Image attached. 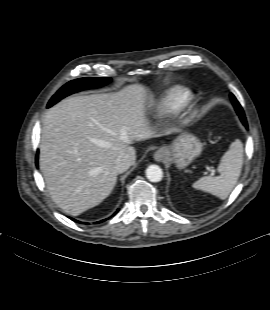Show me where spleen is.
Returning <instances> with one entry per match:
<instances>
[{
	"label": "spleen",
	"mask_w": 270,
	"mask_h": 310,
	"mask_svg": "<svg viewBox=\"0 0 270 310\" xmlns=\"http://www.w3.org/2000/svg\"><path fill=\"white\" fill-rule=\"evenodd\" d=\"M243 165V145L239 140L231 143L218 165L220 175L205 176L193 183V188L201 190L224 200L234 189Z\"/></svg>",
	"instance_id": "obj_1"
}]
</instances>
